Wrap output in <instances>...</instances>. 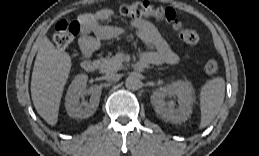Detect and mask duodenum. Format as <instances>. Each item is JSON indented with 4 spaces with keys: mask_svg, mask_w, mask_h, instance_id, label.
Listing matches in <instances>:
<instances>
[{
    "mask_svg": "<svg viewBox=\"0 0 259 156\" xmlns=\"http://www.w3.org/2000/svg\"><path fill=\"white\" fill-rule=\"evenodd\" d=\"M82 68L87 71V72H94L98 69V63L96 60L94 59H91V58H85L83 61H82ZM138 68H143V67H140L139 64H138Z\"/></svg>",
    "mask_w": 259,
    "mask_h": 156,
    "instance_id": "duodenum-1",
    "label": "duodenum"
}]
</instances>
